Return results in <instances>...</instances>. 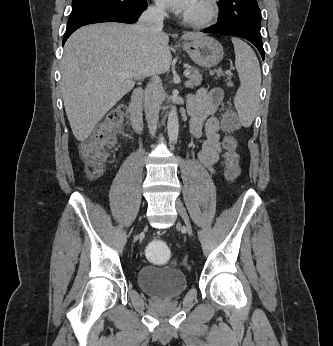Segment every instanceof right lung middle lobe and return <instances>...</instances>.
<instances>
[{"label": "right lung middle lobe", "mask_w": 333, "mask_h": 346, "mask_svg": "<svg viewBox=\"0 0 333 346\" xmlns=\"http://www.w3.org/2000/svg\"><path fill=\"white\" fill-rule=\"evenodd\" d=\"M138 0H72V11L69 17L85 10L95 8H114L127 10L133 7Z\"/></svg>", "instance_id": "right-lung-middle-lobe-1"}]
</instances>
